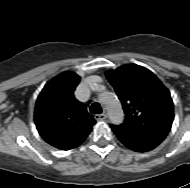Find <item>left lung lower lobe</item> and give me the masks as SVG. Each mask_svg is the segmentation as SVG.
Listing matches in <instances>:
<instances>
[{
	"mask_svg": "<svg viewBox=\"0 0 190 188\" xmlns=\"http://www.w3.org/2000/svg\"><path fill=\"white\" fill-rule=\"evenodd\" d=\"M118 139L133 151L144 152L159 145L167 133L145 131L128 125H111Z\"/></svg>",
	"mask_w": 190,
	"mask_h": 188,
	"instance_id": "left-lung-lower-lobe-1",
	"label": "left lung lower lobe"
}]
</instances>
